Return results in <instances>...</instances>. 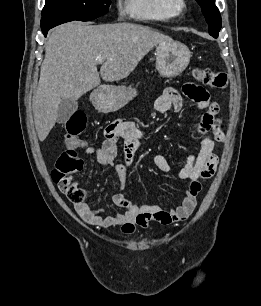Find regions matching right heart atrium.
Returning a JSON list of instances; mask_svg holds the SVG:
<instances>
[{
    "label": "right heart atrium",
    "mask_w": 261,
    "mask_h": 306,
    "mask_svg": "<svg viewBox=\"0 0 261 306\" xmlns=\"http://www.w3.org/2000/svg\"><path fill=\"white\" fill-rule=\"evenodd\" d=\"M116 9L119 15H123L124 12L126 11L125 4L123 0H117L116 1Z\"/></svg>",
    "instance_id": "obj_1"
}]
</instances>
